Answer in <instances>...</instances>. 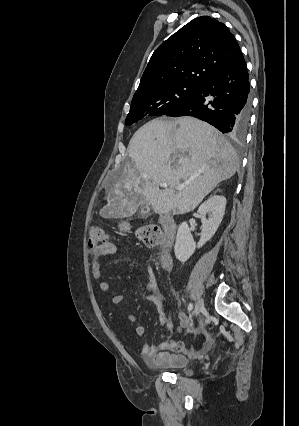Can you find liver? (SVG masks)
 Wrapping results in <instances>:
<instances>
[{
    "instance_id": "6515ba94",
    "label": "liver",
    "mask_w": 299,
    "mask_h": 426,
    "mask_svg": "<svg viewBox=\"0 0 299 426\" xmlns=\"http://www.w3.org/2000/svg\"><path fill=\"white\" fill-rule=\"evenodd\" d=\"M128 154L132 164L106 189L102 217L130 216L143 203L157 214H185L239 167L232 145L213 126L193 117L147 122L131 138ZM161 183L169 187L160 190ZM176 184L185 187L175 191L171 186Z\"/></svg>"
}]
</instances>
